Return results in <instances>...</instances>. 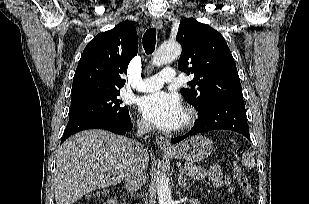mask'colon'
Wrapping results in <instances>:
<instances>
[{
	"mask_svg": "<svg viewBox=\"0 0 309 204\" xmlns=\"http://www.w3.org/2000/svg\"><path fill=\"white\" fill-rule=\"evenodd\" d=\"M233 173L235 180L238 182L239 186L241 187L247 198L251 199L253 197L252 185L248 180L245 171L237 162L234 163Z\"/></svg>",
	"mask_w": 309,
	"mask_h": 204,
	"instance_id": "5ec220e1",
	"label": "colon"
}]
</instances>
